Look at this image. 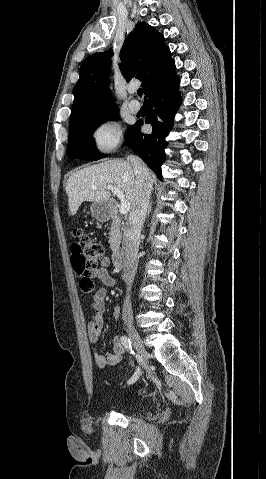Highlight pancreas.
<instances>
[{
  "instance_id": "1",
  "label": "pancreas",
  "mask_w": 266,
  "mask_h": 479,
  "mask_svg": "<svg viewBox=\"0 0 266 479\" xmlns=\"http://www.w3.org/2000/svg\"><path fill=\"white\" fill-rule=\"evenodd\" d=\"M109 235L110 248L114 253H116L119 250L122 238L121 222L117 216L113 218Z\"/></svg>"
}]
</instances>
